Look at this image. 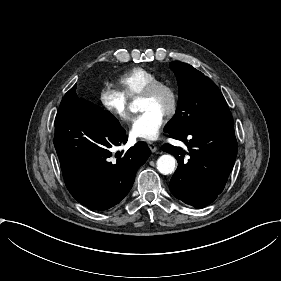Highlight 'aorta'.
<instances>
[{"label": "aorta", "instance_id": "obj_1", "mask_svg": "<svg viewBox=\"0 0 281 281\" xmlns=\"http://www.w3.org/2000/svg\"><path fill=\"white\" fill-rule=\"evenodd\" d=\"M130 110L132 112L136 111L135 103H132L130 105ZM156 164H157V169L160 173H162L164 175H168V174H171L175 170L176 160L172 155L165 154L158 158Z\"/></svg>", "mask_w": 281, "mask_h": 281}]
</instances>
